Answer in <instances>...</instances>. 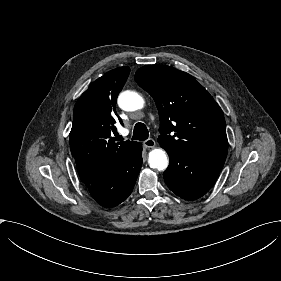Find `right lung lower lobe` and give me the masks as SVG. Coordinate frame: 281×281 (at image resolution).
<instances>
[{
    "label": "right lung lower lobe",
    "mask_w": 281,
    "mask_h": 281,
    "mask_svg": "<svg viewBox=\"0 0 281 281\" xmlns=\"http://www.w3.org/2000/svg\"><path fill=\"white\" fill-rule=\"evenodd\" d=\"M142 166V146H135L111 174L87 186L91 196L103 207L123 202L132 192Z\"/></svg>",
    "instance_id": "98d812e1"
}]
</instances>
